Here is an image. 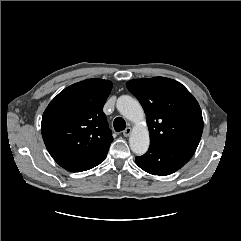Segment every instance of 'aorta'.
Segmentation results:
<instances>
[{
	"label": "aorta",
	"instance_id": "1",
	"mask_svg": "<svg viewBox=\"0 0 241 241\" xmlns=\"http://www.w3.org/2000/svg\"><path fill=\"white\" fill-rule=\"evenodd\" d=\"M118 111L135 124L129 138V145L133 153L143 155L147 152L150 138L149 131L144 122V111L140 103L127 95L120 96L116 103Z\"/></svg>",
	"mask_w": 241,
	"mask_h": 241
}]
</instances>
